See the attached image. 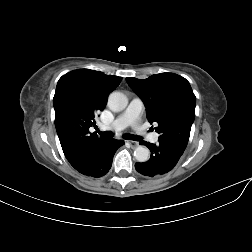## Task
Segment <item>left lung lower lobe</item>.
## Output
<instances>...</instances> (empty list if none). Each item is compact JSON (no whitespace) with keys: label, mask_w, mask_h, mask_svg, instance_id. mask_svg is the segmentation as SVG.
Here are the masks:
<instances>
[{"label":"left lung lower lobe","mask_w":252,"mask_h":252,"mask_svg":"<svg viewBox=\"0 0 252 252\" xmlns=\"http://www.w3.org/2000/svg\"><path fill=\"white\" fill-rule=\"evenodd\" d=\"M141 144L146 145L151 152L150 159L147 162L136 163V170L148 177H156L171 171L186 147L166 139H160L157 144L142 141Z\"/></svg>","instance_id":"obj_1"}]
</instances>
